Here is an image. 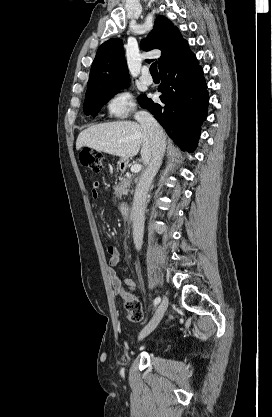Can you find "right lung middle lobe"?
Instances as JSON below:
<instances>
[{
    "instance_id": "dd1d6c3e",
    "label": "right lung middle lobe",
    "mask_w": 272,
    "mask_h": 417,
    "mask_svg": "<svg viewBox=\"0 0 272 417\" xmlns=\"http://www.w3.org/2000/svg\"><path fill=\"white\" fill-rule=\"evenodd\" d=\"M126 87H128V85L123 86V87L113 88V89H103V90L96 91L94 93L86 94L85 102H84V106H83V110H84L85 114L96 116L97 113L99 112V110L101 109V107L110 98L113 97V94H114L115 91H117L121 88H126ZM145 98H146V96L142 95L139 98V100H140L139 103L141 104L144 101Z\"/></svg>"
}]
</instances>
